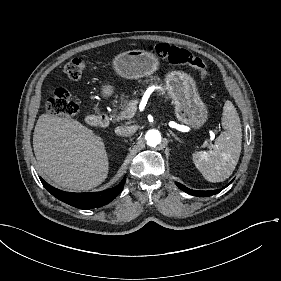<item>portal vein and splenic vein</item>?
Here are the masks:
<instances>
[{
    "mask_svg": "<svg viewBox=\"0 0 281 281\" xmlns=\"http://www.w3.org/2000/svg\"><path fill=\"white\" fill-rule=\"evenodd\" d=\"M165 94H166V91H165ZM137 105H138V99L137 98H132L131 99V103L129 104V107L127 108V111L125 112V119H124L125 123H128L129 119H131L133 117V114H134V112H135V110L137 108Z\"/></svg>",
    "mask_w": 281,
    "mask_h": 281,
    "instance_id": "portal-vein-and-splenic-vein-1",
    "label": "portal vein and splenic vein"
}]
</instances>
